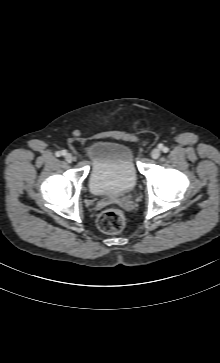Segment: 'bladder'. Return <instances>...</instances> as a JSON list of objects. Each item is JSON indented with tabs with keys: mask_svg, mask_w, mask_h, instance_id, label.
Wrapping results in <instances>:
<instances>
[{
	"mask_svg": "<svg viewBox=\"0 0 220 363\" xmlns=\"http://www.w3.org/2000/svg\"><path fill=\"white\" fill-rule=\"evenodd\" d=\"M85 150L91 161L87 185L92 193L120 195L137 185L139 173L129 144L100 139L89 142Z\"/></svg>",
	"mask_w": 220,
	"mask_h": 363,
	"instance_id": "bladder-1",
	"label": "bladder"
}]
</instances>
